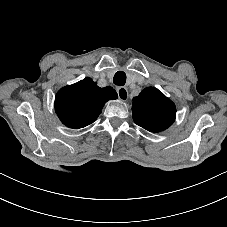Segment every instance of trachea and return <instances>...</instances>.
<instances>
[{
  "label": "trachea",
  "instance_id": "3493384b",
  "mask_svg": "<svg viewBox=\"0 0 227 227\" xmlns=\"http://www.w3.org/2000/svg\"><path fill=\"white\" fill-rule=\"evenodd\" d=\"M126 82V74L123 71H118L113 77V83L117 86H123Z\"/></svg>",
  "mask_w": 227,
  "mask_h": 227
}]
</instances>
